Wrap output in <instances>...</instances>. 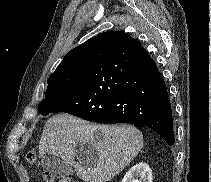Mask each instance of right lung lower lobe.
<instances>
[{
    "label": "right lung lower lobe",
    "mask_w": 211,
    "mask_h": 182,
    "mask_svg": "<svg viewBox=\"0 0 211 182\" xmlns=\"http://www.w3.org/2000/svg\"><path fill=\"white\" fill-rule=\"evenodd\" d=\"M55 112L97 123L149 127L170 146L173 118L164 79L148 52L120 31L99 34L79 87Z\"/></svg>",
    "instance_id": "1"
}]
</instances>
